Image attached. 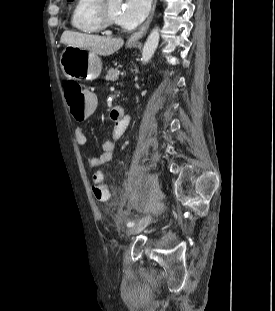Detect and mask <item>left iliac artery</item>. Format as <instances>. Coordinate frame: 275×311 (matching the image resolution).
I'll use <instances>...</instances> for the list:
<instances>
[{"mask_svg": "<svg viewBox=\"0 0 275 311\" xmlns=\"http://www.w3.org/2000/svg\"><path fill=\"white\" fill-rule=\"evenodd\" d=\"M135 225V223L133 222V221H129L128 223H127V226L128 227H133Z\"/></svg>", "mask_w": 275, "mask_h": 311, "instance_id": "left-iliac-artery-1", "label": "left iliac artery"}]
</instances>
